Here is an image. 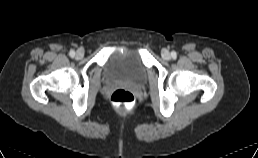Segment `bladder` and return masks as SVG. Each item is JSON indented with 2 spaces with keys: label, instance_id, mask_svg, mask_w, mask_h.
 I'll list each match as a JSON object with an SVG mask.
<instances>
[{
  "label": "bladder",
  "instance_id": "obj_1",
  "mask_svg": "<svg viewBox=\"0 0 258 158\" xmlns=\"http://www.w3.org/2000/svg\"><path fill=\"white\" fill-rule=\"evenodd\" d=\"M110 78L142 83L147 75V68L141 54L136 50H127L111 57L106 66Z\"/></svg>",
  "mask_w": 258,
  "mask_h": 158
}]
</instances>
